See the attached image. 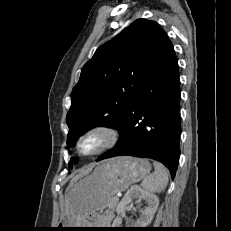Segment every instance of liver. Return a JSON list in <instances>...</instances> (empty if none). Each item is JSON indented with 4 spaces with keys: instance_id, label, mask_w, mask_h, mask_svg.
<instances>
[{
    "instance_id": "6515ba94",
    "label": "liver",
    "mask_w": 231,
    "mask_h": 231,
    "mask_svg": "<svg viewBox=\"0 0 231 231\" xmlns=\"http://www.w3.org/2000/svg\"><path fill=\"white\" fill-rule=\"evenodd\" d=\"M91 169H92V167L88 168L87 170L81 171L78 175H76L75 177H73L72 181L75 180V179H77V178H79V177H81L84 174L89 173L91 171Z\"/></svg>"
}]
</instances>
